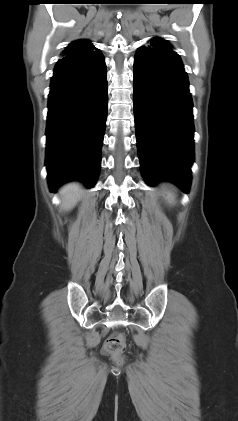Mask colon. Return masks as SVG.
<instances>
[{
    "label": "colon",
    "instance_id": "obj_1",
    "mask_svg": "<svg viewBox=\"0 0 238 421\" xmlns=\"http://www.w3.org/2000/svg\"><path fill=\"white\" fill-rule=\"evenodd\" d=\"M104 350L114 360L118 362L121 361L126 350V342L124 336L121 334L110 336L104 344Z\"/></svg>",
    "mask_w": 238,
    "mask_h": 421
}]
</instances>
